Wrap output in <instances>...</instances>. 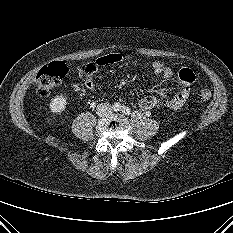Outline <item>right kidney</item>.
<instances>
[{
    "label": "right kidney",
    "instance_id": "ca27d5eb",
    "mask_svg": "<svg viewBox=\"0 0 233 233\" xmlns=\"http://www.w3.org/2000/svg\"><path fill=\"white\" fill-rule=\"evenodd\" d=\"M67 105V98L63 95H56L51 99L49 108L53 114H61L65 111Z\"/></svg>",
    "mask_w": 233,
    "mask_h": 233
}]
</instances>
